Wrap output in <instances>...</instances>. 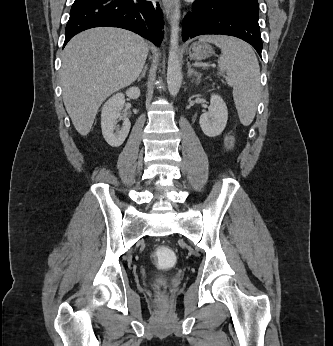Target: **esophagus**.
<instances>
[{"mask_svg":"<svg viewBox=\"0 0 333 346\" xmlns=\"http://www.w3.org/2000/svg\"><path fill=\"white\" fill-rule=\"evenodd\" d=\"M163 10L168 20L171 19V12L173 7V0H162Z\"/></svg>","mask_w":333,"mask_h":346,"instance_id":"1","label":"esophagus"}]
</instances>
